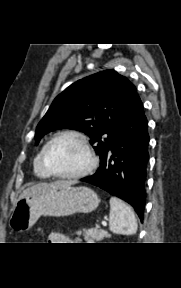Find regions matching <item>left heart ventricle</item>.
<instances>
[{"mask_svg":"<svg viewBox=\"0 0 181 288\" xmlns=\"http://www.w3.org/2000/svg\"><path fill=\"white\" fill-rule=\"evenodd\" d=\"M46 159L52 170L61 174L75 173L87 163L84 148L72 137L55 141L47 150Z\"/></svg>","mask_w":181,"mask_h":288,"instance_id":"1","label":"left heart ventricle"}]
</instances>
